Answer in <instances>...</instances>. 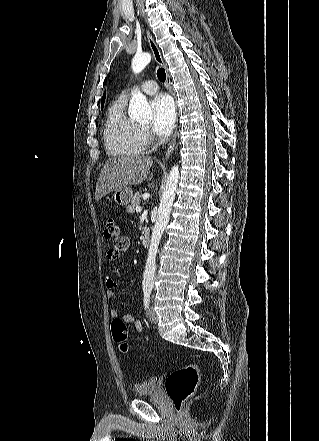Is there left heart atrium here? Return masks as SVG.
<instances>
[{
  "label": "left heart atrium",
  "mask_w": 319,
  "mask_h": 441,
  "mask_svg": "<svg viewBox=\"0 0 319 441\" xmlns=\"http://www.w3.org/2000/svg\"><path fill=\"white\" fill-rule=\"evenodd\" d=\"M152 110L151 130L157 136L168 135L175 122V106L165 94L156 95L150 102Z\"/></svg>",
  "instance_id": "obj_1"
}]
</instances>
